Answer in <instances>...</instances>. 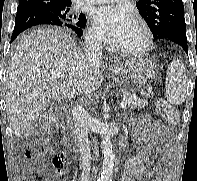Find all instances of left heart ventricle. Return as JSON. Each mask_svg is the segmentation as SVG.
I'll use <instances>...</instances> for the list:
<instances>
[{"label": "left heart ventricle", "instance_id": "left-heart-ventricle-1", "mask_svg": "<svg viewBox=\"0 0 197 181\" xmlns=\"http://www.w3.org/2000/svg\"><path fill=\"white\" fill-rule=\"evenodd\" d=\"M143 41V34L140 28L133 23L131 28L117 42V45L127 48L138 47Z\"/></svg>", "mask_w": 197, "mask_h": 181}]
</instances>
